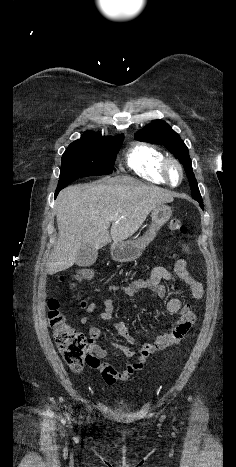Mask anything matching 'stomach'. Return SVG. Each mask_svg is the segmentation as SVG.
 <instances>
[{
    "mask_svg": "<svg viewBox=\"0 0 236 467\" xmlns=\"http://www.w3.org/2000/svg\"><path fill=\"white\" fill-rule=\"evenodd\" d=\"M172 210L168 205L160 204L151 213L152 224L149 230L136 240H126L111 245V256L117 262H130L142 255L143 250L156 237L158 230L168 222Z\"/></svg>",
    "mask_w": 236,
    "mask_h": 467,
    "instance_id": "1",
    "label": "stomach"
}]
</instances>
